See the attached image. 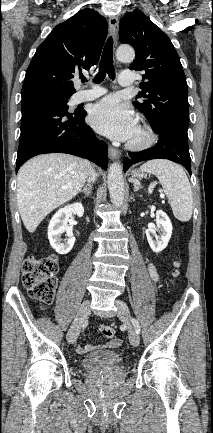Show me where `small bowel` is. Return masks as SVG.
<instances>
[{"instance_id": "c3829d8e", "label": "small bowel", "mask_w": 213, "mask_h": 433, "mask_svg": "<svg viewBox=\"0 0 213 433\" xmlns=\"http://www.w3.org/2000/svg\"><path fill=\"white\" fill-rule=\"evenodd\" d=\"M148 272H149V275H150L151 279L154 282H157L159 280L158 272H157L156 267L154 266L153 263H149L148 264ZM120 344H121V339L116 338V339H113V340L107 342L104 345V347L105 348H115V347H118ZM93 348H94V346L85 345V346H82V347H78L77 348V352L79 354H85V353L91 351Z\"/></svg>"}]
</instances>
